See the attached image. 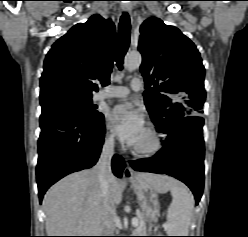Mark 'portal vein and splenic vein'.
Listing matches in <instances>:
<instances>
[{
    "label": "portal vein and splenic vein",
    "mask_w": 248,
    "mask_h": 237,
    "mask_svg": "<svg viewBox=\"0 0 248 237\" xmlns=\"http://www.w3.org/2000/svg\"><path fill=\"white\" fill-rule=\"evenodd\" d=\"M139 225V219L134 217L132 218V226L137 227Z\"/></svg>",
    "instance_id": "18ae733b"
}]
</instances>
